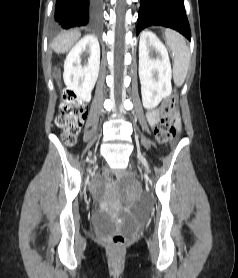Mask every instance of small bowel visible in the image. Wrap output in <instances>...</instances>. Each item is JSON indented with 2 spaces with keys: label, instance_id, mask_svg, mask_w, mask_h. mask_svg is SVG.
<instances>
[{
  "label": "small bowel",
  "instance_id": "c3829d8e",
  "mask_svg": "<svg viewBox=\"0 0 238 278\" xmlns=\"http://www.w3.org/2000/svg\"><path fill=\"white\" fill-rule=\"evenodd\" d=\"M159 120V112L157 110H152L148 113V121L151 125L157 124Z\"/></svg>",
  "mask_w": 238,
  "mask_h": 278
}]
</instances>
